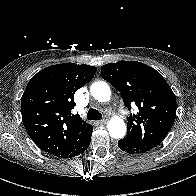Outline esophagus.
I'll return each mask as SVG.
<instances>
[{"mask_svg": "<svg viewBox=\"0 0 196 196\" xmlns=\"http://www.w3.org/2000/svg\"><path fill=\"white\" fill-rule=\"evenodd\" d=\"M99 123L102 124V125H104V124L107 123V119H103V120L99 121Z\"/></svg>", "mask_w": 196, "mask_h": 196, "instance_id": "obj_1", "label": "esophagus"}]
</instances>
